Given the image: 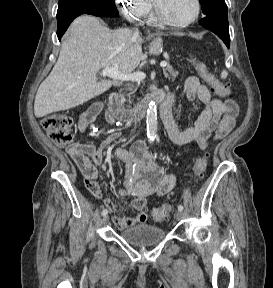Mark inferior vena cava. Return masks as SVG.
I'll return each mask as SVG.
<instances>
[{
    "instance_id": "inferior-vena-cava-1",
    "label": "inferior vena cava",
    "mask_w": 273,
    "mask_h": 288,
    "mask_svg": "<svg viewBox=\"0 0 273 288\" xmlns=\"http://www.w3.org/2000/svg\"><path fill=\"white\" fill-rule=\"evenodd\" d=\"M134 34H135L136 36H138V35H139V31L136 29V30L134 31Z\"/></svg>"
}]
</instances>
